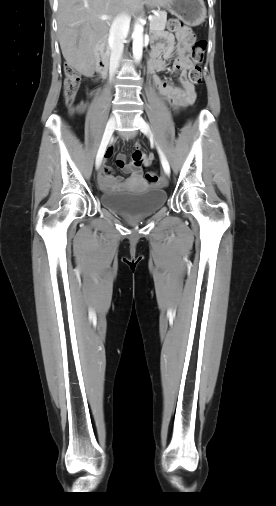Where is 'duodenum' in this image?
Masks as SVG:
<instances>
[{"label": "duodenum", "mask_w": 276, "mask_h": 506, "mask_svg": "<svg viewBox=\"0 0 276 506\" xmlns=\"http://www.w3.org/2000/svg\"><path fill=\"white\" fill-rule=\"evenodd\" d=\"M106 45L107 36H104L98 41L95 49L97 70L103 75L107 74L109 68V54Z\"/></svg>", "instance_id": "1"}]
</instances>
